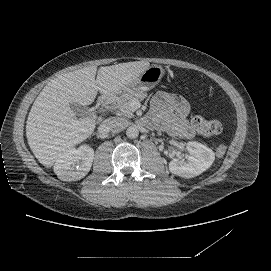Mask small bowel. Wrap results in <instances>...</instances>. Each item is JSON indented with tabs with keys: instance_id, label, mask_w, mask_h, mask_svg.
I'll return each mask as SVG.
<instances>
[{
	"instance_id": "c3829d8e",
	"label": "small bowel",
	"mask_w": 271,
	"mask_h": 271,
	"mask_svg": "<svg viewBox=\"0 0 271 271\" xmlns=\"http://www.w3.org/2000/svg\"><path fill=\"white\" fill-rule=\"evenodd\" d=\"M152 109L161 126L173 135L191 138L194 130L188 122L190 104L181 96L159 92L152 99Z\"/></svg>"
}]
</instances>
